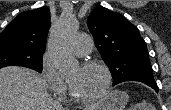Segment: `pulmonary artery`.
I'll return each instance as SVG.
<instances>
[{"instance_id":"obj_1","label":"pulmonary artery","mask_w":171,"mask_h":110,"mask_svg":"<svg viewBox=\"0 0 171 110\" xmlns=\"http://www.w3.org/2000/svg\"><path fill=\"white\" fill-rule=\"evenodd\" d=\"M92 46V39L85 34H78L73 40L74 52L79 56L90 53V51L92 50Z\"/></svg>"}]
</instances>
